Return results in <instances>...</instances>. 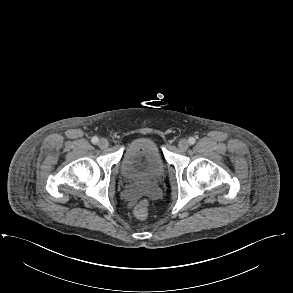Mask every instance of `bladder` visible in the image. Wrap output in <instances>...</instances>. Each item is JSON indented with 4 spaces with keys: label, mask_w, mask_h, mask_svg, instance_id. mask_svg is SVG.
Returning a JSON list of instances; mask_svg holds the SVG:
<instances>
[{
    "label": "bladder",
    "mask_w": 293,
    "mask_h": 293,
    "mask_svg": "<svg viewBox=\"0 0 293 293\" xmlns=\"http://www.w3.org/2000/svg\"><path fill=\"white\" fill-rule=\"evenodd\" d=\"M120 170L128 182L150 190L163 178L165 164L158 146L143 140L125 149Z\"/></svg>",
    "instance_id": "1"
}]
</instances>
